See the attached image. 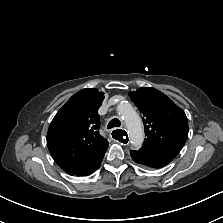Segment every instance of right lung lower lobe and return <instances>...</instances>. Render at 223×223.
I'll return each mask as SVG.
<instances>
[{
	"mask_svg": "<svg viewBox=\"0 0 223 223\" xmlns=\"http://www.w3.org/2000/svg\"><path fill=\"white\" fill-rule=\"evenodd\" d=\"M101 162H102V160L99 163H97L95 166H93L91 169H89L88 171H86L84 173H81V174H78L77 176L92 174L93 172H95L99 168Z\"/></svg>",
	"mask_w": 223,
	"mask_h": 223,
	"instance_id": "obj_1",
	"label": "right lung lower lobe"
}]
</instances>
